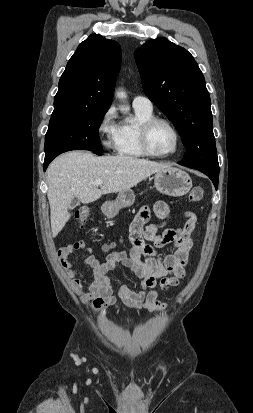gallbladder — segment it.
Wrapping results in <instances>:
<instances>
[{
    "label": "gallbladder",
    "instance_id": "1",
    "mask_svg": "<svg viewBox=\"0 0 253 413\" xmlns=\"http://www.w3.org/2000/svg\"><path fill=\"white\" fill-rule=\"evenodd\" d=\"M79 204H80L79 199H78V198H73L72 201H71V203H70L69 208H70V209H73V208H75L76 206H78Z\"/></svg>",
    "mask_w": 253,
    "mask_h": 413
}]
</instances>
